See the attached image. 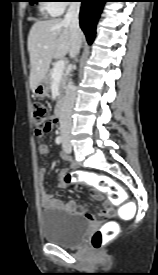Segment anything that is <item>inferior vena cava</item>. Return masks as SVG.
<instances>
[{"instance_id":"602c4592","label":"inferior vena cava","mask_w":158,"mask_h":275,"mask_svg":"<svg viewBox=\"0 0 158 275\" xmlns=\"http://www.w3.org/2000/svg\"><path fill=\"white\" fill-rule=\"evenodd\" d=\"M79 11H80V2H72L69 5L67 13L64 17V23L69 24L70 28V38H71V47H70V57L74 58L78 55L81 48V37H80V27H79ZM76 89L73 83L70 81L66 88L65 99L61 109L60 115V131L63 137L70 136L72 129V109L75 103V93Z\"/></svg>"}]
</instances>
